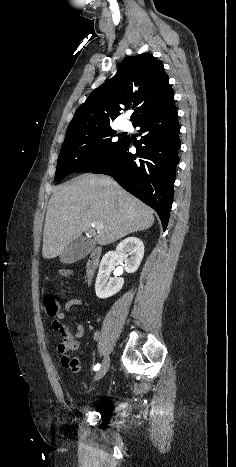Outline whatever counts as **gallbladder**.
Segmentation results:
<instances>
[{
	"instance_id": "obj_1",
	"label": "gallbladder",
	"mask_w": 236,
	"mask_h": 467,
	"mask_svg": "<svg viewBox=\"0 0 236 467\" xmlns=\"http://www.w3.org/2000/svg\"><path fill=\"white\" fill-rule=\"evenodd\" d=\"M93 249L91 240L79 237L71 241L60 254V261L64 264H72L84 258Z\"/></svg>"
}]
</instances>
